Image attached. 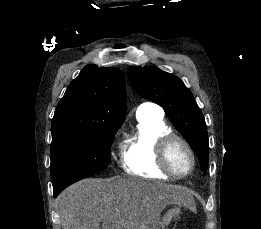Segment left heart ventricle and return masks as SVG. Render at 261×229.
Returning <instances> with one entry per match:
<instances>
[{"label": "left heart ventricle", "instance_id": "b2bd125f", "mask_svg": "<svg viewBox=\"0 0 261 229\" xmlns=\"http://www.w3.org/2000/svg\"><path fill=\"white\" fill-rule=\"evenodd\" d=\"M170 161L178 172H185L190 167L189 154L181 144H177L171 149Z\"/></svg>", "mask_w": 261, "mask_h": 229}]
</instances>
